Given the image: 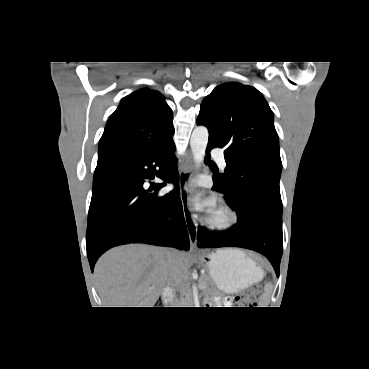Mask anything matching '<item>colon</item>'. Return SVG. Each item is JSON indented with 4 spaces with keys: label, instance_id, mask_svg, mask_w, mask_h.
Listing matches in <instances>:
<instances>
[{
    "label": "colon",
    "instance_id": "5ec220e1",
    "mask_svg": "<svg viewBox=\"0 0 369 369\" xmlns=\"http://www.w3.org/2000/svg\"><path fill=\"white\" fill-rule=\"evenodd\" d=\"M262 294V289L258 285L250 287L245 292L237 295L234 298V303L238 307H251L257 304L260 296Z\"/></svg>",
    "mask_w": 369,
    "mask_h": 369
}]
</instances>
